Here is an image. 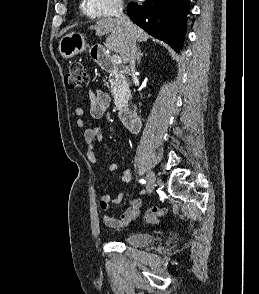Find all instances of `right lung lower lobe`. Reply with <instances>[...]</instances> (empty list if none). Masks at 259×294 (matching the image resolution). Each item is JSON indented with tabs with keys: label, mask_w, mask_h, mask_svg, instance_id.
<instances>
[{
	"label": "right lung lower lobe",
	"mask_w": 259,
	"mask_h": 294,
	"mask_svg": "<svg viewBox=\"0 0 259 294\" xmlns=\"http://www.w3.org/2000/svg\"><path fill=\"white\" fill-rule=\"evenodd\" d=\"M188 11V0H145L127 7L134 23L178 53L183 46Z\"/></svg>",
	"instance_id": "1"
}]
</instances>
